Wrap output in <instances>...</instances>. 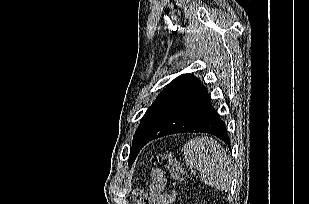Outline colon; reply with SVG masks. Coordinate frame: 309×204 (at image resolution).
<instances>
[{
	"mask_svg": "<svg viewBox=\"0 0 309 204\" xmlns=\"http://www.w3.org/2000/svg\"><path fill=\"white\" fill-rule=\"evenodd\" d=\"M152 163L164 166L169 171L175 185H179L184 181L186 176L185 170L182 168L179 160L175 157L173 152L157 153L152 158ZM137 200L139 204H148L147 199L142 196L138 197Z\"/></svg>",
	"mask_w": 309,
	"mask_h": 204,
	"instance_id": "obj_1",
	"label": "colon"
}]
</instances>
